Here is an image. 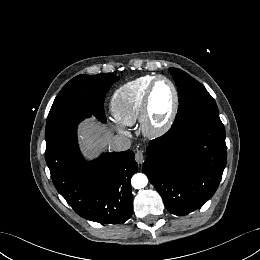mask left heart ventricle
I'll return each mask as SVG.
<instances>
[{
  "mask_svg": "<svg viewBox=\"0 0 260 260\" xmlns=\"http://www.w3.org/2000/svg\"><path fill=\"white\" fill-rule=\"evenodd\" d=\"M174 105V94L171 86L160 81L153 93L151 100V122L154 126L163 125L172 112Z\"/></svg>",
  "mask_w": 260,
  "mask_h": 260,
  "instance_id": "left-heart-ventricle-1",
  "label": "left heart ventricle"
}]
</instances>
